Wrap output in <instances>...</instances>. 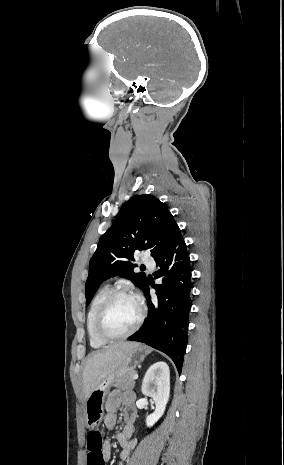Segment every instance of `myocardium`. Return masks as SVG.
I'll use <instances>...</instances> for the list:
<instances>
[{
	"label": "myocardium",
	"instance_id": "1",
	"mask_svg": "<svg viewBox=\"0 0 284 465\" xmlns=\"http://www.w3.org/2000/svg\"><path fill=\"white\" fill-rule=\"evenodd\" d=\"M124 297H127V298H131L133 300H135V302L137 303L138 305V308H139V319L137 321V323L135 324V326L131 329V331L129 333H127L126 335H123V336H120V337H112V336H109L107 334H105L102 330V324L104 322V319L109 311V309L111 308V306L113 305V303L120 299V298H124ZM145 316H146V309H145V306H144V303L142 301V299L136 295L135 293H133L132 291H129V290H125V289H121V290H115V291H112L110 293V295L104 300V302L102 303V305L100 306L97 314H96V317H95V320H94V333H95V336L97 337L98 340L104 342V343H118V342H122V341H125L129 338H131L132 336H134L137 331L140 329L144 319H145Z\"/></svg>",
	"mask_w": 284,
	"mask_h": 465
}]
</instances>
